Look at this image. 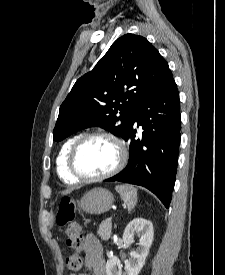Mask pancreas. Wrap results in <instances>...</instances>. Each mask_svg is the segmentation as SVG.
Wrapping results in <instances>:
<instances>
[{"mask_svg": "<svg viewBox=\"0 0 225 275\" xmlns=\"http://www.w3.org/2000/svg\"><path fill=\"white\" fill-rule=\"evenodd\" d=\"M112 223L111 221H103L98 229V235L102 240L108 241L111 236Z\"/></svg>", "mask_w": 225, "mask_h": 275, "instance_id": "1", "label": "pancreas"}]
</instances>
